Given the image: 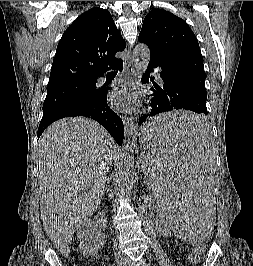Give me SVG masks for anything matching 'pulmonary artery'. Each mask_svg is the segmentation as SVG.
Listing matches in <instances>:
<instances>
[{
  "label": "pulmonary artery",
  "mask_w": 253,
  "mask_h": 266,
  "mask_svg": "<svg viewBox=\"0 0 253 266\" xmlns=\"http://www.w3.org/2000/svg\"><path fill=\"white\" fill-rule=\"evenodd\" d=\"M155 73H156V76H157L158 80L162 83L163 81H162L161 76H160V70L157 69ZM98 82H99L100 84H102V83L105 82V79H104V78H100V79L98 80Z\"/></svg>",
  "instance_id": "1"
}]
</instances>
